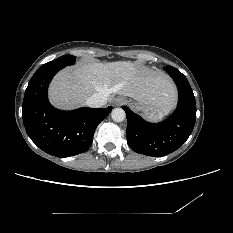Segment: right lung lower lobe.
Listing matches in <instances>:
<instances>
[{
    "instance_id": "98d812e1",
    "label": "right lung lower lobe",
    "mask_w": 233,
    "mask_h": 233,
    "mask_svg": "<svg viewBox=\"0 0 233 233\" xmlns=\"http://www.w3.org/2000/svg\"><path fill=\"white\" fill-rule=\"evenodd\" d=\"M62 67L37 70L25 91L22 105L24 126L31 140L44 152L69 157L87 151L98 124L111 112L83 107L73 111L54 108L48 100L50 81Z\"/></svg>"
}]
</instances>
